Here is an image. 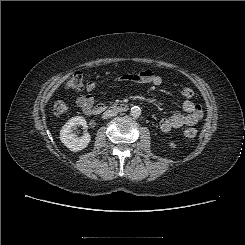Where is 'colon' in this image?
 <instances>
[{
    "mask_svg": "<svg viewBox=\"0 0 245 245\" xmlns=\"http://www.w3.org/2000/svg\"><path fill=\"white\" fill-rule=\"evenodd\" d=\"M66 88L73 91H81L84 88V77L81 73L76 72L66 82ZM181 96L184 98H191L193 96V90L190 88H183L181 90ZM68 111V106L63 100H56L53 104V112L56 115H63ZM197 135L195 128H187L184 130V136L186 138H194Z\"/></svg>",
    "mask_w": 245,
    "mask_h": 245,
    "instance_id": "5ec220e1",
    "label": "colon"
}]
</instances>
